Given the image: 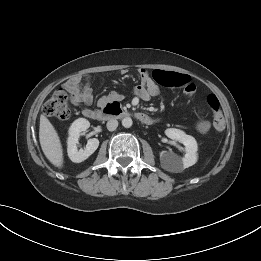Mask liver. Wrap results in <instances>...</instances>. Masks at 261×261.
<instances>
[{
    "instance_id": "1",
    "label": "liver",
    "mask_w": 261,
    "mask_h": 261,
    "mask_svg": "<svg viewBox=\"0 0 261 261\" xmlns=\"http://www.w3.org/2000/svg\"><path fill=\"white\" fill-rule=\"evenodd\" d=\"M39 140L43 153L56 167L63 166V149L58 133L43 114L40 116Z\"/></svg>"
}]
</instances>
